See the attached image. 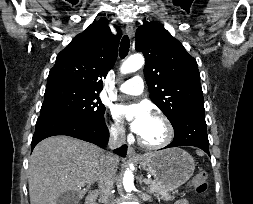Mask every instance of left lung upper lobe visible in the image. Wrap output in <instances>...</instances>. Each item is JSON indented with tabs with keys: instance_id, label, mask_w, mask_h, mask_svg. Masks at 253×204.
<instances>
[{
	"instance_id": "1",
	"label": "left lung upper lobe",
	"mask_w": 253,
	"mask_h": 204,
	"mask_svg": "<svg viewBox=\"0 0 253 204\" xmlns=\"http://www.w3.org/2000/svg\"><path fill=\"white\" fill-rule=\"evenodd\" d=\"M135 47L146 59L150 98L173 126L185 114L204 110L197 62L163 26L144 23L137 30Z\"/></svg>"
}]
</instances>
